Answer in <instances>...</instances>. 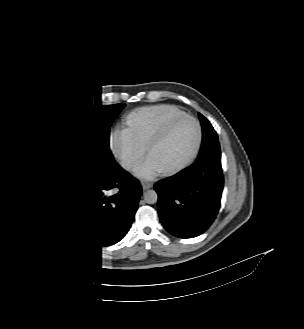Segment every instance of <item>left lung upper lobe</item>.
I'll use <instances>...</instances> for the list:
<instances>
[{"instance_id": "left-lung-upper-lobe-1", "label": "left lung upper lobe", "mask_w": 304, "mask_h": 329, "mask_svg": "<svg viewBox=\"0 0 304 329\" xmlns=\"http://www.w3.org/2000/svg\"><path fill=\"white\" fill-rule=\"evenodd\" d=\"M199 117L202 125V132H203L202 145L200 149V154H202L213 143L218 142V136L216 131L210 124V122L200 113H199Z\"/></svg>"}]
</instances>
